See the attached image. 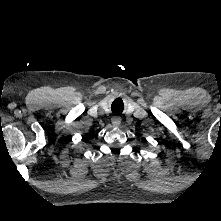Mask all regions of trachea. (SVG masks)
Returning <instances> with one entry per match:
<instances>
[{"label":"trachea","mask_w":221,"mask_h":221,"mask_svg":"<svg viewBox=\"0 0 221 221\" xmlns=\"http://www.w3.org/2000/svg\"><path fill=\"white\" fill-rule=\"evenodd\" d=\"M112 112L114 113V114H117V115H119V114H121L122 113V111H123V107L122 106H120L119 104H117V102H114L113 104H112Z\"/></svg>","instance_id":"3493384b"}]
</instances>
